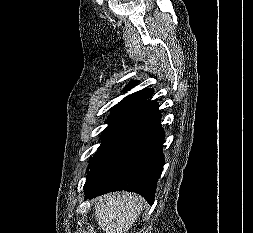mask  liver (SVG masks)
<instances>
[{"label": "liver", "mask_w": 253, "mask_h": 233, "mask_svg": "<svg viewBox=\"0 0 253 233\" xmlns=\"http://www.w3.org/2000/svg\"><path fill=\"white\" fill-rule=\"evenodd\" d=\"M141 196L127 192L107 194L97 199L94 216L106 233H127L143 211Z\"/></svg>", "instance_id": "obj_1"}]
</instances>
